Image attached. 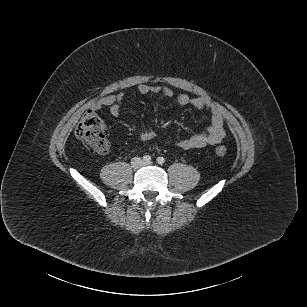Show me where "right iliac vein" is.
<instances>
[{"label":"right iliac vein","mask_w":307,"mask_h":307,"mask_svg":"<svg viewBox=\"0 0 307 307\" xmlns=\"http://www.w3.org/2000/svg\"><path fill=\"white\" fill-rule=\"evenodd\" d=\"M142 165V161L139 158H135L132 160V166L134 168H138Z\"/></svg>","instance_id":"obj_1"}]
</instances>
